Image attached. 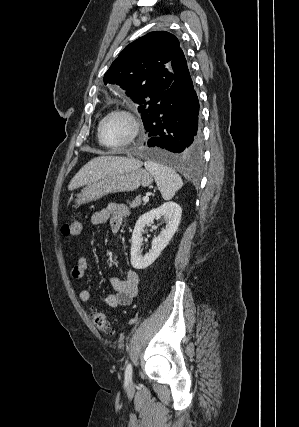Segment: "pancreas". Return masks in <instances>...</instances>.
I'll return each mask as SVG.
<instances>
[{
	"label": "pancreas",
	"mask_w": 299,
	"mask_h": 427,
	"mask_svg": "<svg viewBox=\"0 0 299 427\" xmlns=\"http://www.w3.org/2000/svg\"><path fill=\"white\" fill-rule=\"evenodd\" d=\"M142 204L141 196L136 197L130 204L131 208L139 207Z\"/></svg>",
	"instance_id": "1"
}]
</instances>
